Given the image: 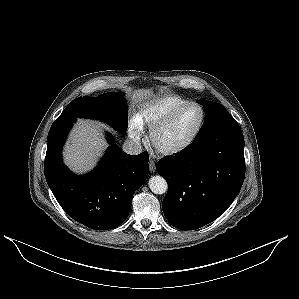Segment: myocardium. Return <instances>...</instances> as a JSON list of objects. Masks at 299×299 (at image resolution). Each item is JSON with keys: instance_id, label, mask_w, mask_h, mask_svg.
Segmentation results:
<instances>
[{"instance_id": "myocardium-1", "label": "myocardium", "mask_w": 299, "mask_h": 299, "mask_svg": "<svg viewBox=\"0 0 299 299\" xmlns=\"http://www.w3.org/2000/svg\"><path fill=\"white\" fill-rule=\"evenodd\" d=\"M190 106L199 107L201 110V113H202L200 123H199L198 127L196 128V130L194 131V133L191 135V137L186 142H184L182 145H180L178 147L171 148V149L158 148L155 145L156 135L159 132H161L162 130H164L166 127H168L186 108H188ZM205 121H206L205 108L197 102H194V101L188 102V103L176 108L173 112H171L163 120L156 123L155 125H153L150 128L149 134H148V143H149L150 147L161 156H164V157L176 156L178 154L183 153L187 149H189L195 143V141L198 139V137L204 127Z\"/></svg>"}]
</instances>
